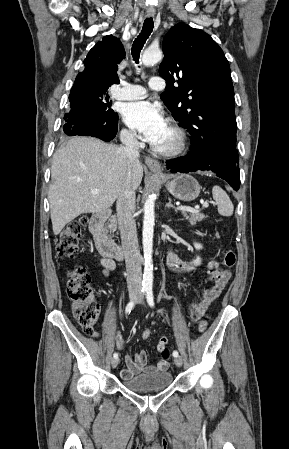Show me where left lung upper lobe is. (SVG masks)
Instances as JSON below:
<instances>
[{
    "label": "left lung upper lobe",
    "mask_w": 289,
    "mask_h": 449,
    "mask_svg": "<svg viewBox=\"0 0 289 449\" xmlns=\"http://www.w3.org/2000/svg\"><path fill=\"white\" fill-rule=\"evenodd\" d=\"M159 74L167 82L161 99L192 143L218 134L236 142L234 89L230 66L219 45L202 30L179 23L165 35ZM177 83L178 86H174Z\"/></svg>",
    "instance_id": "obj_1"
}]
</instances>
